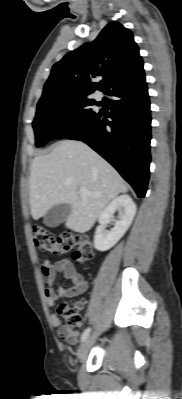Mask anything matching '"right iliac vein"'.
Wrapping results in <instances>:
<instances>
[{
  "label": "right iliac vein",
  "mask_w": 182,
  "mask_h": 399,
  "mask_svg": "<svg viewBox=\"0 0 182 399\" xmlns=\"http://www.w3.org/2000/svg\"><path fill=\"white\" fill-rule=\"evenodd\" d=\"M94 341H95V335L84 340V342L80 345L78 352H77V356L79 359L85 358V356L89 352Z\"/></svg>",
  "instance_id": "obj_1"
}]
</instances>
